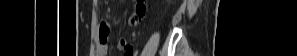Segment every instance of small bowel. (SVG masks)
I'll return each mask as SVG.
<instances>
[{
  "label": "small bowel",
  "mask_w": 297,
  "mask_h": 56,
  "mask_svg": "<svg viewBox=\"0 0 297 56\" xmlns=\"http://www.w3.org/2000/svg\"><path fill=\"white\" fill-rule=\"evenodd\" d=\"M130 45V42L129 41H124V40H121L119 42V47L124 49V55L125 56H132V48ZM107 51H108V47H107V44L105 41H102L100 39L99 43L97 44V47H96V54L98 56H104L107 54Z\"/></svg>",
  "instance_id": "small-bowel-1"
}]
</instances>
